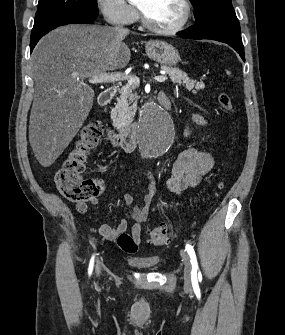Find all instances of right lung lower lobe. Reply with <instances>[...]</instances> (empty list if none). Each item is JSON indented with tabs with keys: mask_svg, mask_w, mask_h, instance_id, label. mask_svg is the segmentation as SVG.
I'll list each match as a JSON object with an SVG mask.
<instances>
[{
	"mask_svg": "<svg viewBox=\"0 0 285 335\" xmlns=\"http://www.w3.org/2000/svg\"><path fill=\"white\" fill-rule=\"evenodd\" d=\"M96 17V15L66 11L55 13L43 19L35 21L30 39V53L34 49L37 42L41 39V37H43L47 32L62 25L72 23H90L94 21Z\"/></svg>",
	"mask_w": 285,
	"mask_h": 335,
	"instance_id": "1",
	"label": "right lung lower lobe"
}]
</instances>
